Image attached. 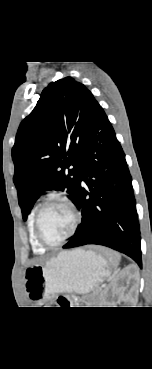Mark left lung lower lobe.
<instances>
[{
    "label": "left lung lower lobe",
    "instance_id": "1",
    "mask_svg": "<svg viewBox=\"0 0 152 369\" xmlns=\"http://www.w3.org/2000/svg\"><path fill=\"white\" fill-rule=\"evenodd\" d=\"M74 205L82 213L63 248L87 244L110 247L142 267L140 228L125 154L100 106L81 154Z\"/></svg>",
    "mask_w": 152,
    "mask_h": 369
}]
</instances>
